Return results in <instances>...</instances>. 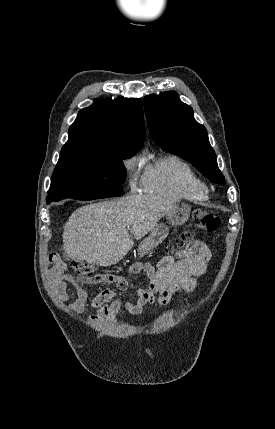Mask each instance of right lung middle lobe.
Here are the masks:
<instances>
[{
	"mask_svg": "<svg viewBox=\"0 0 275 429\" xmlns=\"http://www.w3.org/2000/svg\"><path fill=\"white\" fill-rule=\"evenodd\" d=\"M135 153L60 157L52 176L47 204L65 198L93 200L123 195L121 184L126 177L123 159Z\"/></svg>",
	"mask_w": 275,
	"mask_h": 429,
	"instance_id": "1",
	"label": "right lung middle lobe"
}]
</instances>
